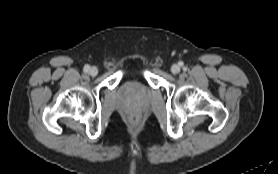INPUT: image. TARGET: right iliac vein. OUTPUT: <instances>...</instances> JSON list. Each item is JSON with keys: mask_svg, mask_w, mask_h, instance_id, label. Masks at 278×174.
<instances>
[{"mask_svg": "<svg viewBox=\"0 0 278 174\" xmlns=\"http://www.w3.org/2000/svg\"><path fill=\"white\" fill-rule=\"evenodd\" d=\"M89 74L93 77L96 76L98 74V68L95 66L91 67L89 70Z\"/></svg>", "mask_w": 278, "mask_h": 174, "instance_id": "obj_1", "label": "right iliac vein"}]
</instances>
